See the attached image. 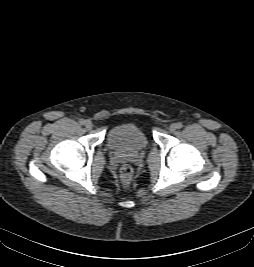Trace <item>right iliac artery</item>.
Masks as SVG:
<instances>
[{
  "label": "right iliac artery",
  "mask_w": 254,
  "mask_h": 267,
  "mask_svg": "<svg viewBox=\"0 0 254 267\" xmlns=\"http://www.w3.org/2000/svg\"><path fill=\"white\" fill-rule=\"evenodd\" d=\"M79 123H80L81 125H84V124H85V120H84V119H80V120H79Z\"/></svg>",
  "instance_id": "right-iliac-artery-1"
}]
</instances>
